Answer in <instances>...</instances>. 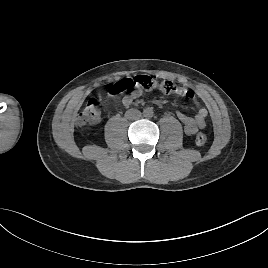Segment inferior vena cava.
Wrapping results in <instances>:
<instances>
[{"mask_svg": "<svg viewBox=\"0 0 268 268\" xmlns=\"http://www.w3.org/2000/svg\"><path fill=\"white\" fill-rule=\"evenodd\" d=\"M135 112V116L131 117L129 115H127L128 118H133V119H138L141 116V113L139 111H134ZM130 113V111H129Z\"/></svg>", "mask_w": 268, "mask_h": 268, "instance_id": "inferior-vena-cava-1", "label": "inferior vena cava"}]
</instances>
